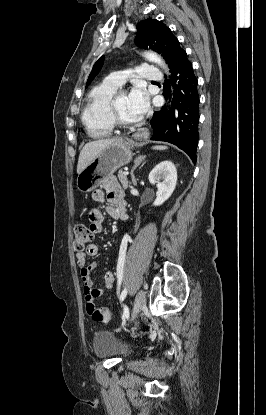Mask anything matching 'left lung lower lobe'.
Masks as SVG:
<instances>
[{"mask_svg": "<svg viewBox=\"0 0 266 415\" xmlns=\"http://www.w3.org/2000/svg\"><path fill=\"white\" fill-rule=\"evenodd\" d=\"M171 83L174 86L172 107L166 111L163 107L154 112L150 121L153 127L152 140L166 141L185 151L193 163H196L199 124V94L197 79L186 52L171 71ZM165 89V95L169 93Z\"/></svg>", "mask_w": 266, "mask_h": 415, "instance_id": "left-lung-lower-lobe-1", "label": "left lung lower lobe"}]
</instances>
